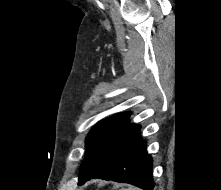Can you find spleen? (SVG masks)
<instances>
[{
  "mask_svg": "<svg viewBox=\"0 0 221 190\" xmlns=\"http://www.w3.org/2000/svg\"><path fill=\"white\" fill-rule=\"evenodd\" d=\"M121 190H139V189H136V188H133V187H129L127 189H121Z\"/></svg>",
  "mask_w": 221,
  "mask_h": 190,
  "instance_id": "spleen-1",
  "label": "spleen"
}]
</instances>
